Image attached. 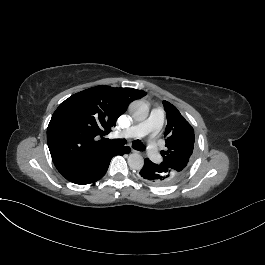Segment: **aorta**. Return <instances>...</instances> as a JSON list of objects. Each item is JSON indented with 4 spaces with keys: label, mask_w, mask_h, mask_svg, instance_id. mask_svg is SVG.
Here are the masks:
<instances>
[{
    "label": "aorta",
    "mask_w": 265,
    "mask_h": 265,
    "mask_svg": "<svg viewBox=\"0 0 265 265\" xmlns=\"http://www.w3.org/2000/svg\"><path fill=\"white\" fill-rule=\"evenodd\" d=\"M129 111L135 121H144L149 114L148 106L142 101H134L129 106ZM128 165L133 170H140L144 166V159L138 153H132L128 157Z\"/></svg>",
    "instance_id": "obj_1"
}]
</instances>
